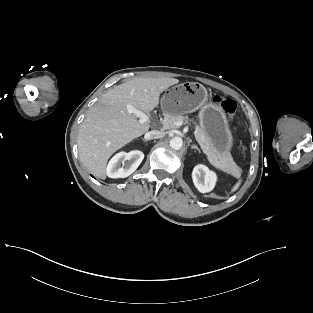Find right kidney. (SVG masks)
<instances>
[{
	"label": "right kidney",
	"instance_id": "right-kidney-1",
	"mask_svg": "<svg viewBox=\"0 0 313 313\" xmlns=\"http://www.w3.org/2000/svg\"><path fill=\"white\" fill-rule=\"evenodd\" d=\"M143 159L144 154L139 150L119 152L109 161L106 173L110 178H126L138 168Z\"/></svg>",
	"mask_w": 313,
	"mask_h": 313
}]
</instances>
